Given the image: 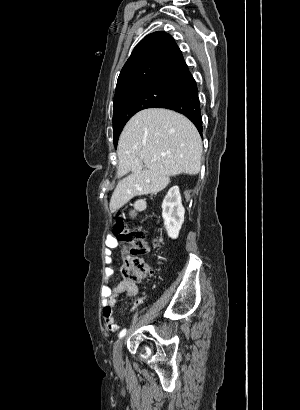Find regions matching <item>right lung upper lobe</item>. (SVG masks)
Here are the masks:
<instances>
[{
  "mask_svg": "<svg viewBox=\"0 0 300 410\" xmlns=\"http://www.w3.org/2000/svg\"><path fill=\"white\" fill-rule=\"evenodd\" d=\"M192 78L174 39L163 31L154 32L132 51L118 77L115 96L135 85L170 81L189 83Z\"/></svg>",
  "mask_w": 300,
  "mask_h": 410,
  "instance_id": "obj_1",
  "label": "right lung upper lobe"
}]
</instances>
